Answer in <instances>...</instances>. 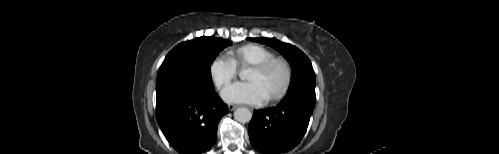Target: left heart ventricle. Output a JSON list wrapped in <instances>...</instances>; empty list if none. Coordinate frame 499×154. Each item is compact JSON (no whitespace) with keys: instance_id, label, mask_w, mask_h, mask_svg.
Instances as JSON below:
<instances>
[{"instance_id":"left-heart-ventricle-1","label":"left heart ventricle","mask_w":499,"mask_h":154,"mask_svg":"<svg viewBox=\"0 0 499 154\" xmlns=\"http://www.w3.org/2000/svg\"><path fill=\"white\" fill-rule=\"evenodd\" d=\"M248 81L257 82L267 97L277 92L284 82V69L280 64L273 65L266 72L250 69L246 75Z\"/></svg>"}]
</instances>
